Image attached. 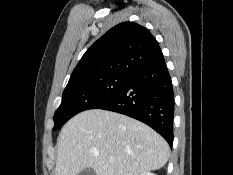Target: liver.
<instances>
[{
	"label": "liver",
	"mask_w": 233,
	"mask_h": 175,
	"mask_svg": "<svg viewBox=\"0 0 233 175\" xmlns=\"http://www.w3.org/2000/svg\"><path fill=\"white\" fill-rule=\"evenodd\" d=\"M168 158L167 142L146 124L91 109L63 126L55 175H77L85 168H92L96 175H141L162 168Z\"/></svg>",
	"instance_id": "6515ba94"
}]
</instances>
